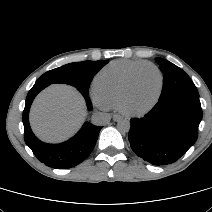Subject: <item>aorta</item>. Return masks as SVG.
Segmentation results:
<instances>
[{"mask_svg": "<svg viewBox=\"0 0 212 212\" xmlns=\"http://www.w3.org/2000/svg\"><path fill=\"white\" fill-rule=\"evenodd\" d=\"M130 126V122L126 119L120 120L117 123V129L122 133L128 132L130 130Z\"/></svg>", "mask_w": 212, "mask_h": 212, "instance_id": "1", "label": "aorta"}]
</instances>
